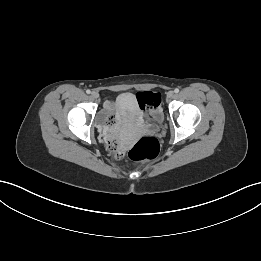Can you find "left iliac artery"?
<instances>
[{"instance_id": "1", "label": "left iliac artery", "mask_w": 261, "mask_h": 261, "mask_svg": "<svg viewBox=\"0 0 261 261\" xmlns=\"http://www.w3.org/2000/svg\"><path fill=\"white\" fill-rule=\"evenodd\" d=\"M174 92H175V93H179V89L176 88V89L174 90Z\"/></svg>"}]
</instances>
